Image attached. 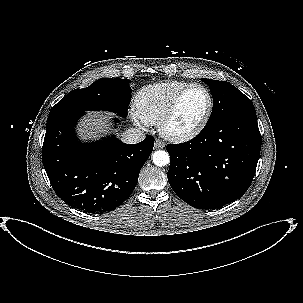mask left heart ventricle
<instances>
[{
	"label": "left heart ventricle",
	"mask_w": 303,
	"mask_h": 303,
	"mask_svg": "<svg viewBox=\"0 0 303 303\" xmlns=\"http://www.w3.org/2000/svg\"><path fill=\"white\" fill-rule=\"evenodd\" d=\"M207 103V96L202 89H191L183 98L175 116L169 124V129L182 132L194 127L203 116Z\"/></svg>",
	"instance_id": "left-heart-ventricle-1"
}]
</instances>
